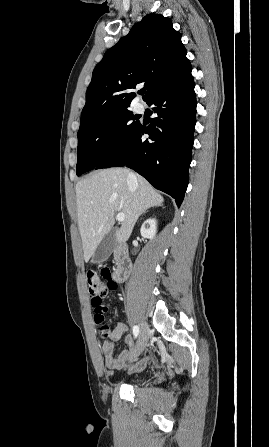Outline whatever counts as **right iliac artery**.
Wrapping results in <instances>:
<instances>
[{"instance_id": "right-iliac-artery-1", "label": "right iliac artery", "mask_w": 269, "mask_h": 447, "mask_svg": "<svg viewBox=\"0 0 269 447\" xmlns=\"http://www.w3.org/2000/svg\"><path fill=\"white\" fill-rule=\"evenodd\" d=\"M133 334H134V336H135V338L138 336V334H139V327L137 326V325H135L134 327H133Z\"/></svg>"}]
</instances>
